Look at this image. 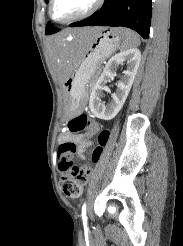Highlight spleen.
Wrapping results in <instances>:
<instances>
[{
	"instance_id": "1",
	"label": "spleen",
	"mask_w": 183,
	"mask_h": 246,
	"mask_svg": "<svg viewBox=\"0 0 183 246\" xmlns=\"http://www.w3.org/2000/svg\"><path fill=\"white\" fill-rule=\"evenodd\" d=\"M124 41L122 44V48H130L137 47L140 45V39L136 33L131 30L123 29ZM90 64V61L87 60L82 66L81 69L85 70Z\"/></svg>"
}]
</instances>
